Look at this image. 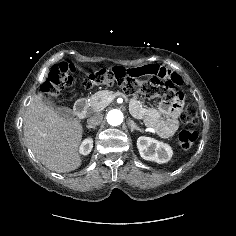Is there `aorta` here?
<instances>
[{
  "instance_id": "762f6f07",
  "label": "aorta",
  "mask_w": 236,
  "mask_h": 236,
  "mask_svg": "<svg viewBox=\"0 0 236 236\" xmlns=\"http://www.w3.org/2000/svg\"><path fill=\"white\" fill-rule=\"evenodd\" d=\"M107 122L111 126H118L123 122V113L119 109H112L107 114Z\"/></svg>"
}]
</instances>
